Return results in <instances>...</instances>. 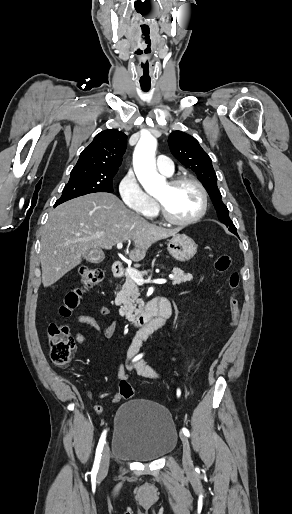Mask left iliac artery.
Returning a JSON list of instances; mask_svg holds the SVG:
<instances>
[{"label": "left iliac artery", "instance_id": "1", "mask_svg": "<svg viewBox=\"0 0 292 514\" xmlns=\"http://www.w3.org/2000/svg\"><path fill=\"white\" fill-rule=\"evenodd\" d=\"M177 395H178V396H180V390H177ZM182 432H183V434H184V435H186L187 437H189V436H190V433H189V431H188V429H187V428L183 427V428H182Z\"/></svg>", "mask_w": 292, "mask_h": 514}]
</instances>
